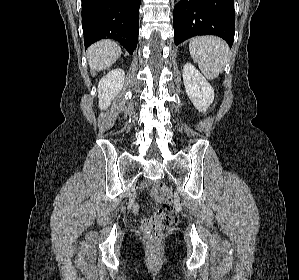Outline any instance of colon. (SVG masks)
<instances>
[{
    "instance_id": "colon-1",
    "label": "colon",
    "mask_w": 299,
    "mask_h": 280,
    "mask_svg": "<svg viewBox=\"0 0 299 280\" xmlns=\"http://www.w3.org/2000/svg\"><path fill=\"white\" fill-rule=\"evenodd\" d=\"M158 189L163 194L166 195L167 189L164 184L158 183ZM165 213H157L146 228L148 238L151 242H157L164 229H167L179 221L178 214L173 210L172 201L168 197L164 199Z\"/></svg>"
}]
</instances>
